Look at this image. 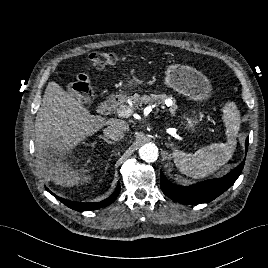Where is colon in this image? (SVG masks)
I'll return each mask as SVG.
<instances>
[{
	"label": "colon",
	"mask_w": 268,
	"mask_h": 268,
	"mask_svg": "<svg viewBox=\"0 0 268 268\" xmlns=\"http://www.w3.org/2000/svg\"><path fill=\"white\" fill-rule=\"evenodd\" d=\"M121 57L112 52H94L89 56V63L92 68L104 69L119 63ZM69 91L78 101H86L92 97L93 89L89 78L86 75H79L69 86Z\"/></svg>",
	"instance_id": "5ec220e1"
}]
</instances>
